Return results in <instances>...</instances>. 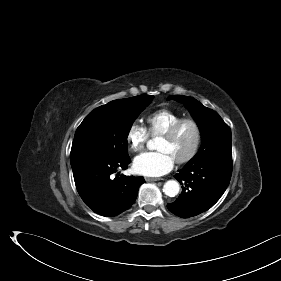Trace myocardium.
Listing matches in <instances>:
<instances>
[{
	"label": "myocardium",
	"instance_id": "obj_1",
	"mask_svg": "<svg viewBox=\"0 0 281 281\" xmlns=\"http://www.w3.org/2000/svg\"><path fill=\"white\" fill-rule=\"evenodd\" d=\"M184 124H190L193 126L196 137L191 151L186 156L175 160L176 163L178 164H185L190 162L192 159H194V157L199 152L202 143V130L199 123L192 118H181L178 121H176L173 125H171L167 129V131L161 135V138L172 139Z\"/></svg>",
	"mask_w": 281,
	"mask_h": 281
}]
</instances>
